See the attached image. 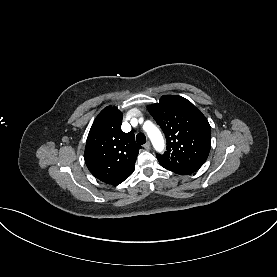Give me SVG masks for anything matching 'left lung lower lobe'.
I'll use <instances>...</instances> for the list:
<instances>
[{"mask_svg": "<svg viewBox=\"0 0 277 277\" xmlns=\"http://www.w3.org/2000/svg\"><path fill=\"white\" fill-rule=\"evenodd\" d=\"M175 173L181 174V175H188V174H191L193 172L176 171Z\"/></svg>", "mask_w": 277, "mask_h": 277, "instance_id": "left-lung-lower-lobe-1", "label": "left lung lower lobe"}]
</instances>
